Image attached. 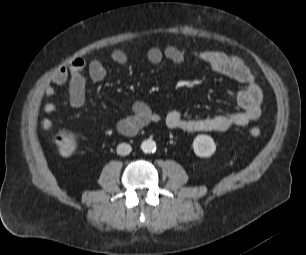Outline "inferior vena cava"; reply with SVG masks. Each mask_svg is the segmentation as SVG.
Masks as SVG:
<instances>
[{
  "instance_id": "inferior-vena-cava-1",
  "label": "inferior vena cava",
  "mask_w": 306,
  "mask_h": 255,
  "mask_svg": "<svg viewBox=\"0 0 306 255\" xmlns=\"http://www.w3.org/2000/svg\"><path fill=\"white\" fill-rule=\"evenodd\" d=\"M132 151V147L127 143H121L117 146V154L126 156Z\"/></svg>"
}]
</instances>
